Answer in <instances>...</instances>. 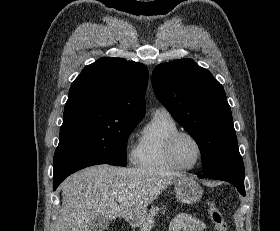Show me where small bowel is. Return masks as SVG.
I'll return each mask as SVG.
<instances>
[{
    "label": "small bowel",
    "instance_id": "obj_1",
    "mask_svg": "<svg viewBox=\"0 0 280 231\" xmlns=\"http://www.w3.org/2000/svg\"><path fill=\"white\" fill-rule=\"evenodd\" d=\"M205 223L187 214L177 215L169 226V231H204Z\"/></svg>",
    "mask_w": 280,
    "mask_h": 231
}]
</instances>
